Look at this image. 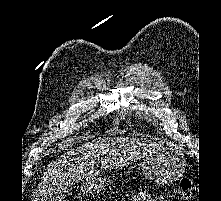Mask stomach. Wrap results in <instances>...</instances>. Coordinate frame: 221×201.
Returning a JSON list of instances; mask_svg holds the SVG:
<instances>
[{"label":"stomach","mask_w":221,"mask_h":201,"mask_svg":"<svg viewBox=\"0 0 221 201\" xmlns=\"http://www.w3.org/2000/svg\"><path fill=\"white\" fill-rule=\"evenodd\" d=\"M185 159L181 152L163 148L146 155L142 162L143 175L158 184H165L178 179L184 172ZM106 178L95 177L86 181L82 191L88 194H96L108 184Z\"/></svg>","instance_id":"stomach-1"}]
</instances>
